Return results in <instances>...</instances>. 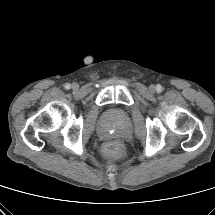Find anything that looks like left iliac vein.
I'll return each instance as SVG.
<instances>
[{"label": "left iliac vein", "mask_w": 215, "mask_h": 215, "mask_svg": "<svg viewBox=\"0 0 215 215\" xmlns=\"http://www.w3.org/2000/svg\"><path fill=\"white\" fill-rule=\"evenodd\" d=\"M149 90H150V92L154 93L155 90H156V87H155L154 85H151V86L149 87Z\"/></svg>", "instance_id": "left-iliac-vein-1"}]
</instances>
